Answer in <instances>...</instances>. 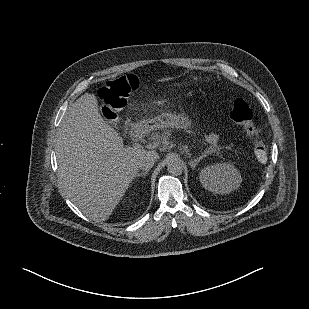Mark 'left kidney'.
<instances>
[{
  "instance_id": "left-kidney-1",
  "label": "left kidney",
  "mask_w": 309,
  "mask_h": 309,
  "mask_svg": "<svg viewBox=\"0 0 309 309\" xmlns=\"http://www.w3.org/2000/svg\"><path fill=\"white\" fill-rule=\"evenodd\" d=\"M202 186L213 193L227 194L237 189L242 178L230 163H219L204 167L199 173Z\"/></svg>"
}]
</instances>
